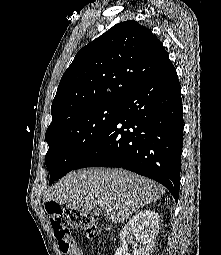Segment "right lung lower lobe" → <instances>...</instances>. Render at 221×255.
<instances>
[{
    "instance_id": "1",
    "label": "right lung lower lobe",
    "mask_w": 221,
    "mask_h": 255,
    "mask_svg": "<svg viewBox=\"0 0 221 255\" xmlns=\"http://www.w3.org/2000/svg\"><path fill=\"white\" fill-rule=\"evenodd\" d=\"M181 87L171 61L135 88L73 170L119 167L164 185L178 201L183 143Z\"/></svg>"
}]
</instances>
